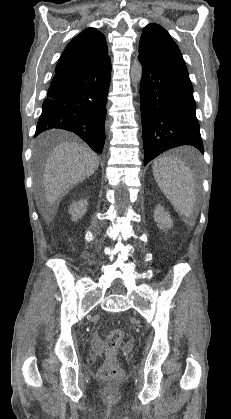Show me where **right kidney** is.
<instances>
[{"label":"right kidney","mask_w":231,"mask_h":419,"mask_svg":"<svg viewBox=\"0 0 231 419\" xmlns=\"http://www.w3.org/2000/svg\"><path fill=\"white\" fill-rule=\"evenodd\" d=\"M87 200H79L78 202H73L68 210V212L72 215V220L77 221L78 219L82 218V216L87 211Z\"/></svg>","instance_id":"right-kidney-1"}]
</instances>
